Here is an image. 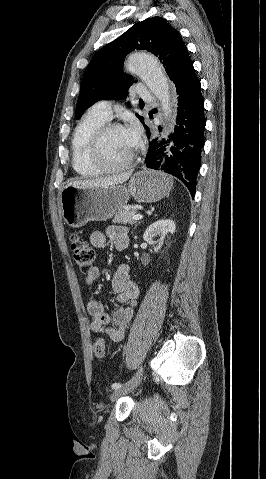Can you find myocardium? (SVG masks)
I'll use <instances>...</instances> for the list:
<instances>
[{
	"mask_svg": "<svg viewBox=\"0 0 266 479\" xmlns=\"http://www.w3.org/2000/svg\"><path fill=\"white\" fill-rule=\"evenodd\" d=\"M117 129L124 128L122 125L117 123H105L96 129L91 137L88 149V157L92 165L102 172L110 173L127 169L132 165L135 159V151H133L130 157L121 164L112 165L104 159L102 154V144L104 138L109 132Z\"/></svg>",
	"mask_w": 266,
	"mask_h": 479,
	"instance_id": "myocardium-1",
	"label": "myocardium"
}]
</instances>
